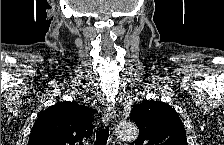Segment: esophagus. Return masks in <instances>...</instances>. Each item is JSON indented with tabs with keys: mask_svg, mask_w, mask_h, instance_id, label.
<instances>
[{
	"mask_svg": "<svg viewBox=\"0 0 224 145\" xmlns=\"http://www.w3.org/2000/svg\"><path fill=\"white\" fill-rule=\"evenodd\" d=\"M113 118H115L114 104H108L103 113L102 121L105 125H108L112 121Z\"/></svg>",
	"mask_w": 224,
	"mask_h": 145,
	"instance_id": "34e87169",
	"label": "esophagus"
}]
</instances>
